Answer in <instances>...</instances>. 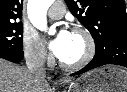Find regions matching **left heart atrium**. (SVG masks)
<instances>
[{
	"label": "left heart atrium",
	"instance_id": "1",
	"mask_svg": "<svg viewBox=\"0 0 127 92\" xmlns=\"http://www.w3.org/2000/svg\"><path fill=\"white\" fill-rule=\"evenodd\" d=\"M71 32L67 30H61L57 36L50 42V49L55 56L62 58L70 44Z\"/></svg>",
	"mask_w": 127,
	"mask_h": 92
}]
</instances>
